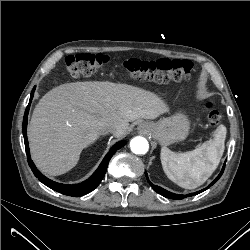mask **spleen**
Segmentation results:
<instances>
[{"mask_svg":"<svg viewBox=\"0 0 250 250\" xmlns=\"http://www.w3.org/2000/svg\"><path fill=\"white\" fill-rule=\"evenodd\" d=\"M226 127L220 125L214 139L192 151L175 153L167 147L161 149V163L167 177L186 189L202 185L219 165L224 152Z\"/></svg>","mask_w":250,"mask_h":250,"instance_id":"obj_1","label":"spleen"}]
</instances>
